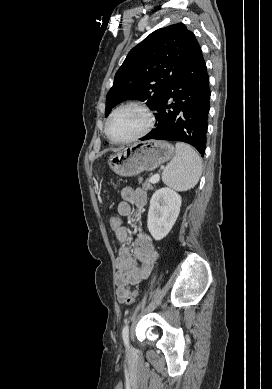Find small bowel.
I'll use <instances>...</instances> for the list:
<instances>
[{
	"label": "small bowel",
	"mask_w": 272,
	"mask_h": 389,
	"mask_svg": "<svg viewBox=\"0 0 272 389\" xmlns=\"http://www.w3.org/2000/svg\"><path fill=\"white\" fill-rule=\"evenodd\" d=\"M121 196L122 201L117 207L119 216L132 217L134 222L141 225V211L147 202L146 192L127 186L122 189ZM132 205L135 206L134 211ZM115 235L120 246L116 258V295L119 302H124L130 293V287L140 284L150 276L158 252L153 240L143 229L138 230L132 247L129 245V229L126 226H121Z\"/></svg>",
	"instance_id": "c3829d8e"
}]
</instances>
